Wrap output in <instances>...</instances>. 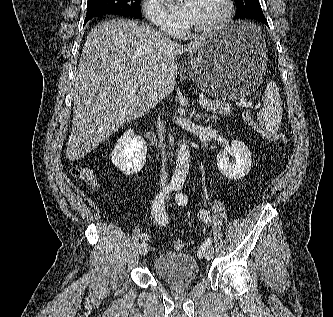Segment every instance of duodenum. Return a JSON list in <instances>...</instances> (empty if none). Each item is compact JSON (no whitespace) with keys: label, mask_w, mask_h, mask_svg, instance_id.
I'll return each instance as SVG.
<instances>
[{"label":"duodenum","mask_w":333,"mask_h":317,"mask_svg":"<svg viewBox=\"0 0 333 317\" xmlns=\"http://www.w3.org/2000/svg\"><path fill=\"white\" fill-rule=\"evenodd\" d=\"M151 144L160 147L161 146V141L155 136V135H148L147 136Z\"/></svg>","instance_id":"duodenum-1"}]
</instances>
